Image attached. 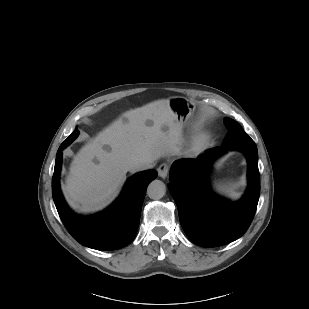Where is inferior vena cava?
I'll return each instance as SVG.
<instances>
[{
  "label": "inferior vena cava",
  "instance_id": "inferior-vena-cava-1",
  "mask_svg": "<svg viewBox=\"0 0 309 309\" xmlns=\"http://www.w3.org/2000/svg\"><path fill=\"white\" fill-rule=\"evenodd\" d=\"M153 162L154 161H138V162H135L134 164H132L130 169L132 171L145 170V169L150 168L152 166Z\"/></svg>",
  "mask_w": 309,
  "mask_h": 309
}]
</instances>
